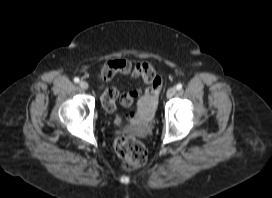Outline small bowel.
Masks as SVG:
<instances>
[{
    "label": "small bowel",
    "mask_w": 272,
    "mask_h": 198,
    "mask_svg": "<svg viewBox=\"0 0 272 198\" xmlns=\"http://www.w3.org/2000/svg\"><path fill=\"white\" fill-rule=\"evenodd\" d=\"M113 75H124L140 78L144 83V87L130 90L126 93L119 94L117 89H107L103 95V105L108 111H113L117 100L124 107H130L135 100L138 104L146 101H156V96L162 87L161 79L156 76L153 67L146 63H131L125 59H115L109 62Z\"/></svg>",
    "instance_id": "obj_1"
}]
</instances>
